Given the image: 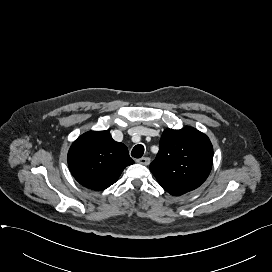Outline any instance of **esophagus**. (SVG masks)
<instances>
[{
    "mask_svg": "<svg viewBox=\"0 0 272 272\" xmlns=\"http://www.w3.org/2000/svg\"><path fill=\"white\" fill-rule=\"evenodd\" d=\"M136 162L139 163V164L147 166V165L150 164V158H148V157H142L140 159H137Z\"/></svg>",
    "mask_w": 272,
    "mask_h": 272,
    "instance_id": "obj_1",
    "label": "esophagus"
}]
</instances>
